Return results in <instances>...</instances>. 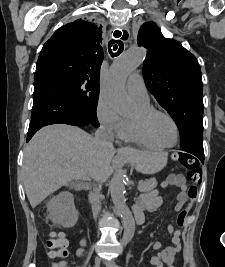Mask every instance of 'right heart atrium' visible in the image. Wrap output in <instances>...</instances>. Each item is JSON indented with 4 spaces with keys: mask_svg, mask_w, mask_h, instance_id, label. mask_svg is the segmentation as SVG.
I'll return each instance as SVG.
<instances>
[{
    "mask_svg": "<svg viewBox=\"0 0 225 267\" xmlns=\"http://www.w3.org/2000/svg\"><path fill=\"white\" fill-rule=\"evenodd\" d=\"M96 114L100 124L109 132L122 136L125 119L120 116L113 104L104 96L97 102Z\"/></svg>",
    "mask_w": 225,
    "mask_h": 267,
    "instance_id": "d8ad5b80",
    "label": "right heart atrium"
}]
</instances>
